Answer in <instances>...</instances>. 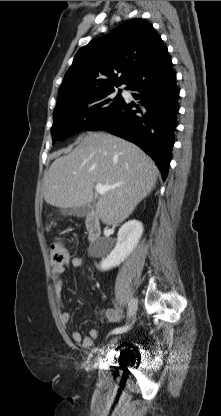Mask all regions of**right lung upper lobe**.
I'll return each mask as SVG.
<instances>
[{
	"instance_id": "obj_1",
	"label": "right lung upper lobe",
	"mask_w": 221,
	"mask_h": 416,
	"mask_svg": "<svg viewBox=\"0 0 221 416\" xmlns=\"http://www.w3.org/2000/svg\"><path fill=\"white\" fill-rule=\"evenodd\" d=\"M171 70L167 47L153 26L143 19H131L77 52L60 86L56 105L122 84L131 89L151 78L165 77Z\"/></svg>"
}]
</instances>
